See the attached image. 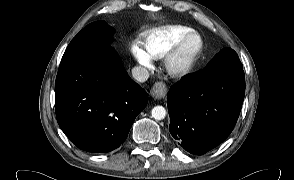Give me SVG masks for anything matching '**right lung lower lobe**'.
Masks as SVG:
<instances>
[{"instance_id": "obj_1", "label": "right lung lower lobe", "mask_w": 294, "mask_h": 180, "mask_svg": "<svg viewBox=\"0 0 294 180\" xmlns=\"http://www.w3.org/2000/svg\"><path fill=\"white\" fill-rule=\"evenodd\" d=\"M148 94L124 70L111 47L61 60L55 82L58 124L80 149L106 153L127 138Z\"/></svg>"}]
</instances>
